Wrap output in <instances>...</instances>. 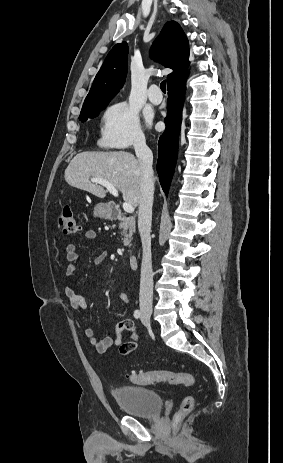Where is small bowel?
I'll return each mask as SVG.
<instances>
[{"instance_id":"c3829d8e","label":"small bowel","mask_w":283,"mask_h":463,"mask_svg":"<svg viewBox=\"0 0 283 463\" xmlns=\"http://www.w3.org/2000/svg\"><path fill=\"white\" fill-rule=\"evenodd\" d=\"M88 240L96 239V232L93 230H88L85 234ZM65 257L68 262V265L65 269V276L71 278L74 276L76 271V263L78 261L77 246L74 243H70L65 248ZM107 258V253L102 252L94 258V264L98 265L105 261ZM65 295L69 300V303L73 310L82 311L86 308L85 299L78 295L75 292V289L72 285H66L64 289ZM118 299L124 305H128L130 302L129 296L125 292L118 293ZM135 323L131 319L121 320L115 327V336L114 337H98L91 328H85L84 332L90 343L96 348L97 352L100 354L107 353L113 349L120 348V352L123 355H129L137 347V335L135 333ZM129 332L130 338L126 341L123 340V333ZM125 348V352H122V349Z\"/></svg>"}]
</instances>
